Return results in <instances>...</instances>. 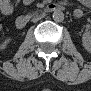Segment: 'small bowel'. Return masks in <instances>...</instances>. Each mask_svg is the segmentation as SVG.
<instances>
[{"instance_id": "small-bowel-1", "label": "small bowel", "mask_w": 91, "mask_h": 91, "mask_svg": "<svg viewBox=\"0 0 91 91\" xmlns=\"http://www.w3.org/2000/svg\"><path fill=\"white\" fill-rule=\"evenodd\" d=\"M2 8L4 9V13H9L10 12V8H9V4L7 1H4L2 4Z\"/></svg>"}]
</instances>
